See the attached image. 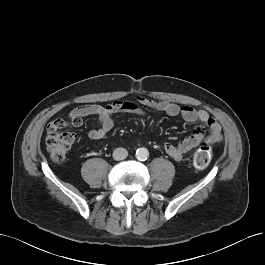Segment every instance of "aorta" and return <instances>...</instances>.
Listing matches in <instances>:
<instances>
[{
  "label": "aorta",
  "mask_w": 265,
  "mask_h": 265,
  "mask_svg": "<svg viewBox=\"0 0 265 265\" xmlns=\"http://www.w3.org/2000/svg\"><path fill=\"white\" fill-rule=\"evenodd\" d=\"M148 156H149V152L146 148L141 147L136 150V157L138 160L145 161L147 160Z\"/></svg>",
  "instance_id": "obj_1"
}]
</instances>
